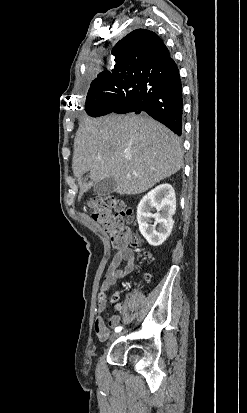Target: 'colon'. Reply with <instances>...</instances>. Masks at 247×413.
<instances>
[{"label":"colon","instance_id":"1","mask_svg":"<svg viewBox=\"0 0 247 413\" xmlns=\"http://www.w3.org/2000/svg\"><path fill=\"white\" fill-rule=\"evenodd\" d=\"M88 207L92 210V218L111 235V243L118 251L124 249L129 241L133 243L135 250L139 251V236L129 232L124 226V219L131 217L124 201L116 197H100L91 200ZM144 256L150 257L146 252ZM145 278L149 279L150 276L146 275Z\"/></svg>","mask_w":247,"mask_h":413}]
</instances>
